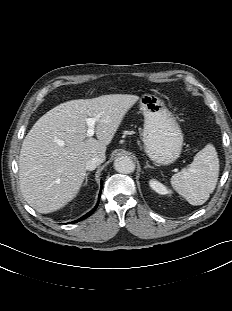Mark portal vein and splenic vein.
Segmentation results:
<instances>
[{
	"label": "portal vein and splenic vein",
	"mask_w": 232,
	"mask_h": 311,
	"mask_svg": "<svg viewBox=\"0 0 232 311\" xmlns=\"http://www.w3.org/2000/svg\"><path fill=\"white\" fill-rule=\"evenodd\" d=\"M100 115H97L94 118H86V124L88 126V130H87V137H92L94 135L95 132V123L99 120Z\"/></svg>",
	"instance_id": "18ae733b"
}]
</instances>
